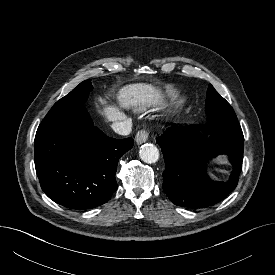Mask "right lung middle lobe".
Instances as JSON below:
<instances>
[{"label": "right lung middle lobe", "mask_w": 275, "mask_h": 275, "mask_svg": "<svg viewBox=\"0 0 275 275\" xmlns=\"http://www.w3.org/2000/svg\"><path fill=\"white\" fill-rule=\"evenodd\" d=\"M92 90L90 80L81 82L68 95L57 101L50 109L44 120L60 116L66 112L83 107L88 98V94Z\"/></svg>", "instance_id": "1"}]
</instances>
